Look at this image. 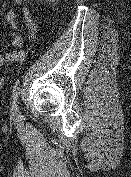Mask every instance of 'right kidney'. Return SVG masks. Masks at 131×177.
<instances>
[{"instance_id": "ca27d5eb", "label": "right kidney", "mask_w": 131, "mask_h": 177, "mask_svg": "<svg viewBox=\"0 0 131 177\" xmlns=\"http://www.w3.org/2000/svg\"><path fill=\"white\" fill-rule=\"evenodd\" d=\"M47 2H52V3H54V2H56V1H58V0H46Z\"/></svg>"}]
</instances>
